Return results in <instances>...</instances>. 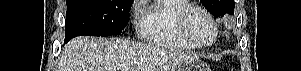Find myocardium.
Returning <instances> with one entry per match:
<instances>
[{"label": "myocardium", "mask_w": 301, "mask_h": 71, "mask_svg": "<svg viewBox=\"0 0 301 71\" xmlns=\"http://www.w3.org/2000/svg\"><path fill=\"white\" fill-rule=\"evenodd\" d=\"M193 12H200L211 23L213 30H214V35L210 42L199 43L191 35L190 30H189V19ZM176 20H177L178 29H179L181 36L186 41H188L191 45H193L195 48H208V47L212 46L218 38V26H217L213 16L207 10H205L204 8H202L199 5L189 4V5L181 8L176 15Z\"/></svg>", "instance_id": "obj_1"}]
</instances>
